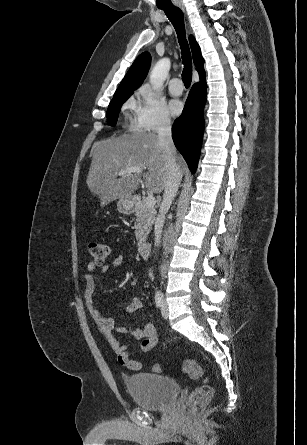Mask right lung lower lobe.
<instances>
[{
    "label": "right lung lower lobe",
    "mask_w": 307,
    "mask_h": 445,
    "mask_svg": "<svg viewBox=\"0 0 307 445\" xmlns=\"http://www.w3.org/2000/svg\"><path fill=\"white\" fill-rule=\"evenodd\" d=\"M199 75L200 83L193 85L182 115L172 126L175 146L183 155L192 173H195L197 168L204 131L205 72L202 71Z\"/></svg>",
    "instance_id": "right-lung-lower-lobe-1"
}]
</instances>
